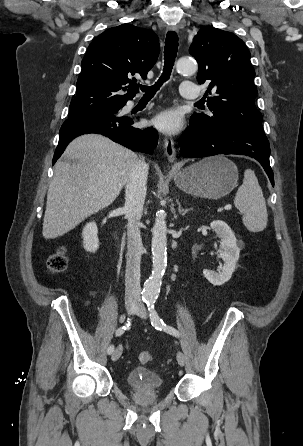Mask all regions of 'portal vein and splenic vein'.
<instances>
[{
	"label": "portal vein and splenic vein",
	"instance_id": "portal-vein-and-splenic-vein-1",
	"mask_svg": "<svg viewBox=\"0 0 303 446\" xmlns=\"http://www.w3.org/2000/svg\"><path fill=\"white\" fill-rule=\"evenodd\" d=\"M224 209H225V210H231V209H232V206H231L230 204H228V205H226V206L224 207Z\"/></svg>",
	"mask_w": 303,
	"mask_h": 446
}]
</instances>
